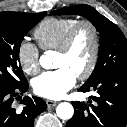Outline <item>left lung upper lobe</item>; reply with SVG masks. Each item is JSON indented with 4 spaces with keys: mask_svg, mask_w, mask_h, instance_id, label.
I'll return each mask as SVG.
<instances>
[{
    "mask_svg": "<svg viewBox=\"0 0 127 127\" xmlns=\"http://www.w3.org/2000/svg\"><path fill=\"white\" fill-rule=\"evenodd\" d=\"M51 14L84 16L101 35L98 61L85 84L97 80L108 72H127V40L117 25L89 5L66 7Z\"/></svg>",
    "mask_w": 127,
    "mask_h": 127,
    "instance_id": "5c2ea615",
    "label": "left lung upper lobe"
}]
</instances>
